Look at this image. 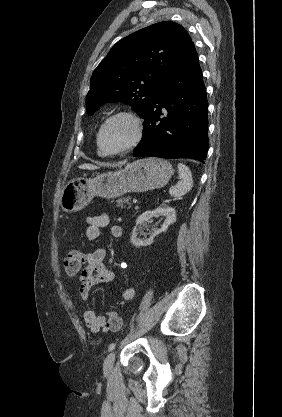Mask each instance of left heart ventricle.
Listing matches in <instances>:
<instances>
[{
	"instance_id": "b2bd125f",
	"label": "left heart ventricle",
	"mask_w": 282,
	"mask_h": 417,
	"mask_svg": "<svg viewBox=\"0 0 282 417\" xmlns=\"http://www.w3.org/2000/svg\"><path fill=\"white\" fill-rule=\"evenodd\" d=\"M131 135L130 126L119 121L114 123L106 132L103 143L107 149H113L126 142Z\"/></svg>"
}]
</instances>
